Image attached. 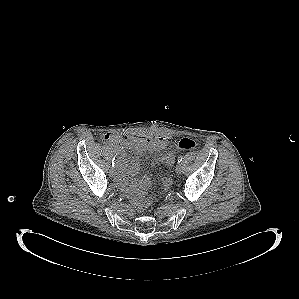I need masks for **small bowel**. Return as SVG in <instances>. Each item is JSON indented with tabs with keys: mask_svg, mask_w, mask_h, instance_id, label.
I'll return each instance as SVG.
<instances>
[{
	"mask_svg": "<svg viewBox=\"0 0 299 299\" xmlns=\"http://www.w3.org/2000/svg\"><path fill=\"white\" fill-rule=\"evenodd\" d=\"M105 142L110 144L118 155L119 175L121 182L140 190L146 189L150 185L148 177L139 180H132V177L139 169L137 157L144 152L160 151L166 148L168 139L165 136L139 135L130 137L123 134L107 133L103 136ZM126 150L131 151L134 156L129 157ZM166 166H172L175 162V153L169 151L156 160ZM162 185L167 188L171 180L167 177L162 178Z\"/></svg>",
	"mask_w": 299,
	"mask_h": 299,
	"instance_id": "c3829d8e",
	"label": "small bowel"
}]
</instances>
